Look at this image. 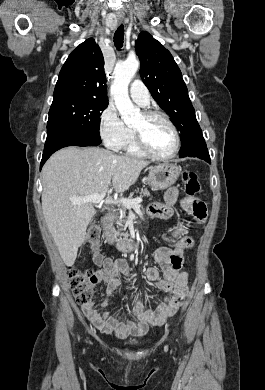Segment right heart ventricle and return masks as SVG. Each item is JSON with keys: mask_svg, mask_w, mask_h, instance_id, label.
Masks as SVG:
<instances>
[{"mask_svg": "<svg viewBox=\"0 0 265 390\" xmlns=\"http://www.w3.org/2000/svg\"><path fill=\"white\" fill-rule=\"evenodd\" d=\"M122 149L128 155L133 156V157L142 158V157L145 156L143 154V152L139 149V147H138V145L136 143V140H135L134 133H133L132 130L130 131V135L127 138V140H126L125 144L123 145Z\"/></svg>", "mask_w": 265, "mask_h": 390, "instance_id": "1", "label": "right heart ventricle"}]
</instances>
